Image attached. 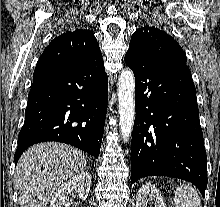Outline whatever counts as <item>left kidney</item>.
Segmentation results:
<instances>
[{
	"instance_id": "5707ae66",
	"label": "left kidney",
	"mask_w": 220,
	"mask_h": 207,
	"mask_svg": "<svg viewBox=\"0 0 220 207\" xmlns=\"http://www.w3.org/2000/svg\"><path fill=\"white\" fill-rule=\"evenodd\" d=\"M152 201L154 207H166L160 191L151 183H146L137 192L136 207H148Z\"/></svg>"
}]
</instances>
